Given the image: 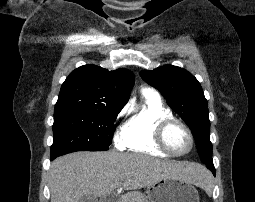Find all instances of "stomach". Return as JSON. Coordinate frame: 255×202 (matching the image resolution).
I'll return each instance as SVG.
<instances>
[{
	"instance_id": "1",
	"label": "stomach",
	"mask_w": 255,
	"mask_h": 202,
	"mask_svg": "<svg viewBox=\"0 0 255 202\" xmlns=\"http://www.w3.org/2000/svg\"><path fill=\"white\" fill-rule=\"evenodd\" d=\"M149 202H199L195 187L180 178H164L147 187Z\"/></svg>"
}]
</instances>
